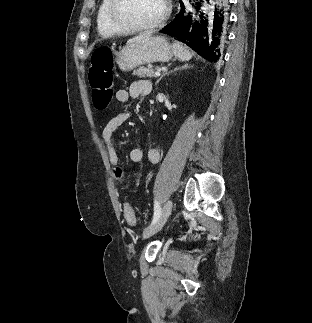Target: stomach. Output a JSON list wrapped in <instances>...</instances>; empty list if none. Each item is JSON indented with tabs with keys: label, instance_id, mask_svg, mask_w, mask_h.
<instances>
[{
	"label": "stomach",
	"instance_id": "1",
	"mask_svg": "<svg viewBox=\"0 0 312 323\" xmlns=\"http://www.w3.org/2000/svg\"><path fill=\"white\" fill-rule=\"evenodd\" d=\"M171 58L173 50L165 36H142L123 46L116 54V62L122 72H131L144 64L169 62Z\"/></svg>",
	"mask_w": 312,
	"mask_h": 323
}]
</instances>
